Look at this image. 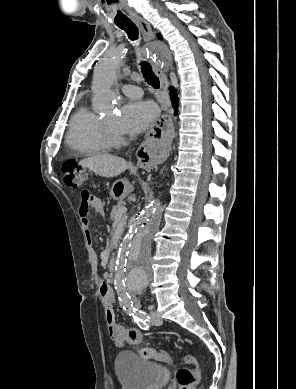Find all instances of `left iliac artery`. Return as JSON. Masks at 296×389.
<instances>
[{
	"label": "left iliac artery",
	"mask_w": 296,
	"mask_h": 389,
	"mask_svg": "<svg viewBox=\"0 0 296 389\" xmlns=\"http://www.w3.org/2000/svg\"><path fill=\"white\" fill-rule=\"evenodd\" d=\"M122 295H123V299H125L126 293L122 292ZM127 296H128V294H127ZM129 298H130V296H129ZM125 306L128 309L129 315L133 316L134 321L137 323V325L141 329L147 330L149 328V325L147 323L150 319L149 315H147L144 311L140 310L138 306L133 305V302H131V303L125 302Z\"/></svg>",
	"instance_id": "obj_1"
}]
</instances>
